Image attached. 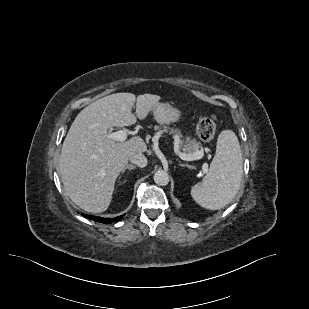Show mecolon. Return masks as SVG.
<instances>
[{"label":"colon","mask_w":309,"mask_h":309,"mask_svg":"<svg viewBox=\"0 0 309 309\" xmlns=\"http://www.w3.org/2000/svg\"><path fill=\"white\" fill-rule=\"evenodd\" d=\"M216 125L209 117H202L197 124V135L203 143L210 142L215 134Z\"/></svg>","instance_id":"5ec220e1"}]
</instances>
